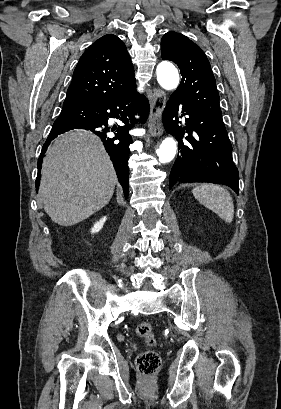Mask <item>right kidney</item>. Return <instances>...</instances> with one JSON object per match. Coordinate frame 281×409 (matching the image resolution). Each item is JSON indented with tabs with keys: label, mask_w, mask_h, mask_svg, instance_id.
Masks as SVG:
<instances>
[{
	"label": "right kidney",
	"mask_w": 281,
	"mask_h": 409,
	"mask_svg": "<svg viewBox=\"0 0 281 409\" xmlns=\"http://www.w3.org/2000/svg\"><path fill=\"white\" fill-rule=\"evenodd\" d=\"M105 221H106V217H103V219H100V221H97V223H95V225H93V227L91 229V233H99V231H101Z\"/></svg>",
	"instance_id": "obj_1"
}]
</instances>
